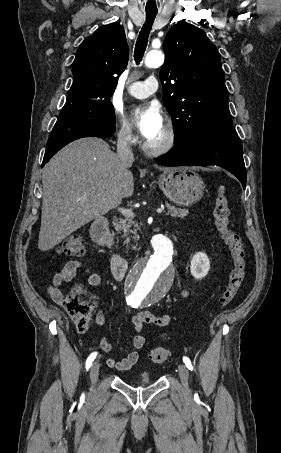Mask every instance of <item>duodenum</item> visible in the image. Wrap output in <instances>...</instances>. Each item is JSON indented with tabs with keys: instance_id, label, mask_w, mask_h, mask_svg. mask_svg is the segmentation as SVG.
Here are the masks:
<instances>
[{
	"instance_id": "410a0bca",
	"label": "duodenum",
	"mask_w": 281,
	"mask_h": 453,
	"mask_svg": "<svg viewBox=\"0 0 281 453\" xmlns=\"http://www.w3.org/2000/svg\"><path fill=\"white\" fill-rule=\"evenodd\" d=\"M93 240L102 246L111 244V234L108 222L105 219L97 220L92 227ZM129 269L128 261L119 254H114L111 258V271L117 280H122Z\"/></svg>"
}]
</instances>
